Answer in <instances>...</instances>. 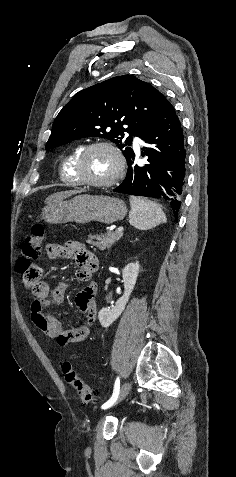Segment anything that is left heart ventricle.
Returning <instances> with one entry per match:
<instances>
[{
	"label": "left heart ventricle",
	"instance_id": "left-heart-ventricle-1",
	"mask_svg": "<svg viewBox=\"0 0 236 477\" xmlns=\"http://www.w3.org/2000/svg\"><path fill=\"white\" fill-rule=\"evenodd\" d=\"M116 167V159L109 150L95 148L83 160L82 175L89 180L103 181L114 175Z\"/></svg>",
	"mask_w": 236,
	"mask_h": 477
}]
</instances>
